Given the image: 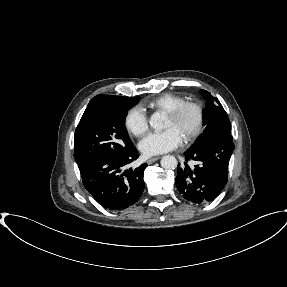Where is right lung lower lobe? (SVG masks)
I'll return each mask as SVG.
<instances>
[{
  "label": "right lung lower lobe",
  "instance_id": "right-lung-lower-lobe-1",
  "mask_svg": "<svg viewBox=\"0 0 287 287\" xmlns=\"http://www.w3.org/2000/svg\"><path fill=\"white\" fill-rule=\"evenodd\" d=\"M138 156L136 148L128 154L101 155L80 168L85 188L105 209L121 211L135 204L141 197L147 164L123 171Z\"/></svg>",
  "mask_w": 287,
  "mask_h": 287
}]
</instances>
